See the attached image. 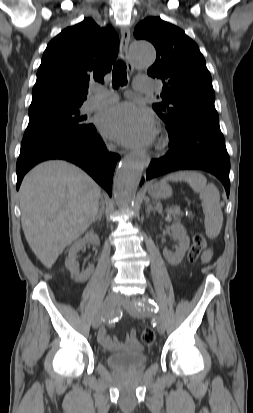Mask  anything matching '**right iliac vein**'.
Here are the masks:
<instances>
[{
  "instance_id": "obj_1",
  "label": "right iliac vein",
  "mask_w": 253,
  "mask_h": 413,
  "mask_svg": "<svg viewBox=\"0 0 253 413\" xmlns=\"http://www.w3.org/2000/svg\"><path fill=\"white\" fill-rule=\"evenodd\" d=\"M117 303H118V297L116 294L109 293L105 297V300L100 308V311L92 323V326L94 329H97L101 325L102 319L108 316L112 312V310L115 308Z\"/></svg>"
}]
</instances>
